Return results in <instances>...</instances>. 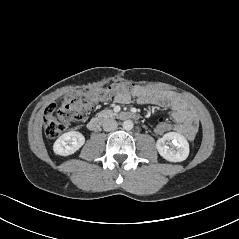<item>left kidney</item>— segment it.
Instances as JSON below:
<instances>
[{
	"instance_id": "5707ae66",
	"label": "left kidney",
	"mask_w": 239,
	"mask_h": 239,
	"mask_svg": "<svg viewBox=\"0 0 239 239\" xmlns=\"http://www.w3.org/2000/svg\"><path fill=\"white\" fill-rule=\"evenodd\" d=\"M170 141L175 146L173 150L167 146ZM156 148L159 154L170 162L184 161L189 155V143L187 139L177 132L166 133L162 138L158 139Z\"/></svg>"
}]
</instances>
